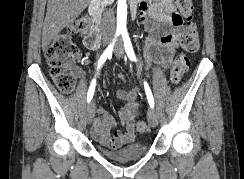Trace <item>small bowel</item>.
Masks as SVG:
<instances>
[{
  "mask_svg": "<svg viewBox=\"0 0 244 179\" xmlns=\"http://www.w3.org/2000/svg\"><path fill=\"white\" fill-rule=\"evenodd\" d=\"M132 7H135L147 34L144 46L145 68L152 65L168 68L173 61L177 39L181 34L179 14L169 0H143ZM83 44L88 49H94L89 36L83 38ZM74 72L81 79L84 78L85 73L81 68H74ZM118 77L123 79L122 74H118ZM137 94L134 88L118 91V98L125 102L119 111L124 130L115 129L114 118L105 115L101 108L94 109L93 136L102 146L121 147L134 140V119L138 110Z\"/></svg>",
  "mask_w": 244,
  "mask_h": 179,
  "instance_id": "c3829d8e",
  "label": "small bowel"
}]
</instances>
